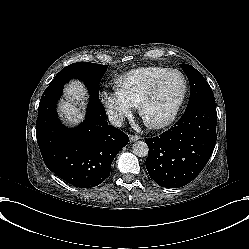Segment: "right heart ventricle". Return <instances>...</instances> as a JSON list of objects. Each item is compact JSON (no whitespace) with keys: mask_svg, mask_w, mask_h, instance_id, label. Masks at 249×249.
<instances>
[{"mask_svg":"<svg viewBox=\"0 0 249 249\" xmlns=\"http://www.w3.org/2000/svg\"><path fill=\"white\" fill-rule=\"evenodd\" d=\"M162 67H143L129 72L117 85V94L130 106L137 107L152 86L166 74Z\"/></svg>","mask_w":249,"mask_h":249,"instance_id":"e07e8e85","label":"right heart ventricle"}]
</instances>
